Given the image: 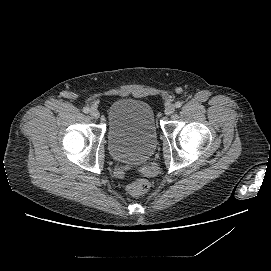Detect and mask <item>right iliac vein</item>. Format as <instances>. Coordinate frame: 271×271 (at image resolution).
<instances>
[{"instance_id": "obj_1", "label": "right iliac vein", "mask_w": 271, "mask_h": 271, "mask_svg": "<svg viewBox=\"0 0 271 271\" xmlns=\"http://www.w3.org/2000/svg\"><path fill=\"white\" fill-rule=\"evenodd\" d=\"M90 115L92 118H95V119H98L100 117L99 111L95 108L90 110Z\"/></svg>"}]
</instances>
